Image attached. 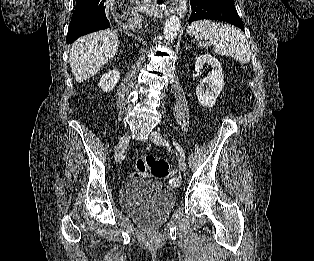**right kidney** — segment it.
<instances>
[{"mask_svg": "<svg viewBox=\"0 0 314 261\" xmlns=\"http://www.w3.org/2000/svg\"><path fill=\"white\" fill-rule=\"evenodd\" d=\"M119 78L120 73L117 70H109L101 77L99 86L104 92L111 91L115 88L117 82L119 81Z\"/></svg>", "mask_w": 314, "mask_h": 261, "instance_id": "right-kidney-1", "label": "right kidney"}]
</instances>
